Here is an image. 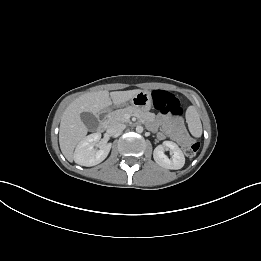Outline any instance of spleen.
<instances>
[{"instance_id":"spleen-1","label":"spleen","mask_w":261,"mask_h":261,"mask_svg":"<svg viewBox=\"0 0 261 261\" xmlns=\"http://www.w3.org/2000/svg\"><path fill=\"white\" fill-rule=\"evenodd\" d=\"M197 122H198V130L196 132V136H200L201 135V127H200L199 120H197Z\"/></svg>"}]
</instances>
